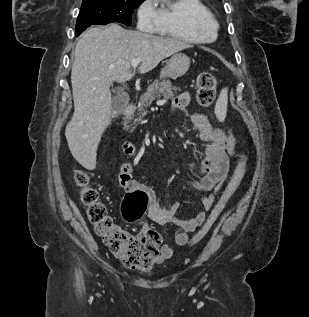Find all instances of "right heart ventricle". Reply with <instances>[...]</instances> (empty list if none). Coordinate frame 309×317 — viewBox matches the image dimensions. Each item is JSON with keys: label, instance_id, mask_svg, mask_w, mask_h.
<instances>
[{"label": "right heart ventricle", "instance_id": "1", "mask_svg": "<svg viewBox=\"0 0 309 317\" xmlns=\"http://www.w3.org/2000/svg\"><path fill=\"white\" fill-rule=\"evenodd\" d=\"M158 3L157 33L196 44L217 38L218 22L202 0H158Z\"/></svg>", "mask_w": 309, "mask_h": 317}]
</instances>
